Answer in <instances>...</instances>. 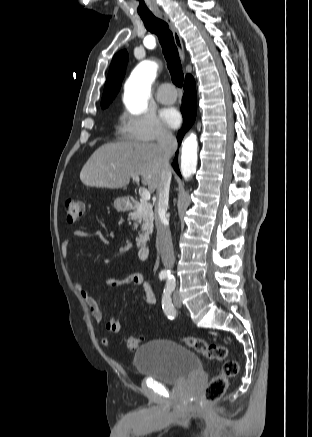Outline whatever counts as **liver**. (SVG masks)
Listing matches in <instances>:
<instances>
[{"label": "liver", "mask_w": 312, "mask_h": 437, "mask_svg": "<svg viewBox=\"0 0 312 437\" xmlns=\"http://www.w3.org/2000/svg\"><path fill=\"white\" fill-rule=\"evenodd\" d=\"M160 170L158 144L108 143L91 155L81 170L80 180L89 187L126 189L132 175H138L153 193L158 186Z\"/></svg>", "instance_id": "6515ba94"}]
</instances>
